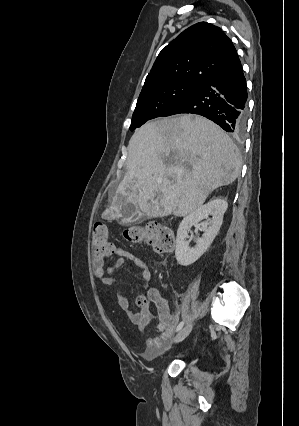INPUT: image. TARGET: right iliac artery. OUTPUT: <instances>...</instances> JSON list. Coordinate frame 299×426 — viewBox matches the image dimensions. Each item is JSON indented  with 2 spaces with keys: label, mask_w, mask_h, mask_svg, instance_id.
I'll use <instances>...</instances> for the list:
<instances>
[{
  "label": "right iliac artery",
  "mask_w": 299,
  "mask_h": 426,
  "mask_svg": "<svg viewBox=\"0 0 299 426\" xmlns=\"http://www.w3.org/2000/svg\"><path fill=\"white\" fill-rule=\"evenodd\" d=\"M184 325V321L180 322L176 328V332L180 331Z\"/></svg>",
  "instance_id": "82829eb1"
}]
</instances>
